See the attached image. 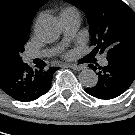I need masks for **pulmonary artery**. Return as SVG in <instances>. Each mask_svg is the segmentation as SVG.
Instances as JSON below:
<instances>
[{
	"label": "pulmonary artery",
	"mask_w": 135,
	"mask_h": 135,
	"mask_svg": "<svg viewBox=\"0 0 135 135\" xmlns=\"http://www.w3.org/2000/svg\"><path fill=\"white\" fill-rule=\"evenodd\" d=\"M60 23L62 26V31L64 35V40L69 41L72 39L77 32L80 25V16L79 14H69L60 16ZM55 50H46V51H29L26 53L25 58L28 61H31L34 58L47 57L52 55ZM101 64L106 66L108 61L106 58L101 59Z\"/></svg>",
	"instance_id": "pulmonary-artery-1"
}]
</instances>
